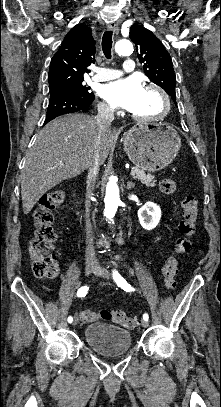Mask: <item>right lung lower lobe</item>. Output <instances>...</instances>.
<instances>
[{"instance_id":"right-lung-lower-lobe-1","label":"right lung lower lobe","mask_w":221,"mask_h":407,"mask_svg":"<svg viewBox=\"0 0 221 407\" xmlns=\"http://www.w3.org/2000/svg\"><path fill=\"white\" fill-rule=\"evenodd\" d=\"M94 97L64 95L50 99L44 124L67 113L86 110L92 104Z\"/></svg>"}]
</instances>
